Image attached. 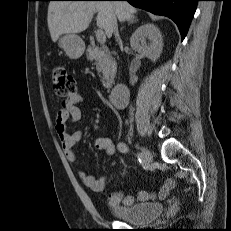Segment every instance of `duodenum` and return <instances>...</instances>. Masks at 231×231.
I'll list each match as a JSON object with an SVG mask.
<instances>
[{
	"label": "duodenum",
	"instance_id": "1",
	"mask_svg": "<svg viewBox=\"0 0 231 231\" xmlns=\"http://www.w3.org/2000/svg\"><path fill=\"white\" fill-rule=\"evenodd\" d=\"M129 88L125 83H118L110 93V102L113 107L120 109L124 107L128 98Z\"/></svg>",
	"mask_w": 231,
	"mask_h": 231
}]
</instances>
